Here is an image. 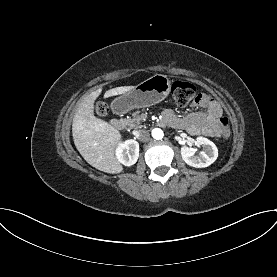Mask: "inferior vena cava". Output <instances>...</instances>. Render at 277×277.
I'll use <instances>...</instances> for the list:
<instances>
[{"label":"inferior vena cava","instance_id":"1","mask_svg":"<svg viewBox=\"0 0 277 277\" xmlns=\"http://www.w3.org/2000/svg\"><path fill=\"white\" fill-rule=\"evenodd\" d=\"M135 136L141 142H147L150 140V134L147 130H139L136 132Z\"/></svg>","mask_w":277,"mask_h":277}]
</instances>
